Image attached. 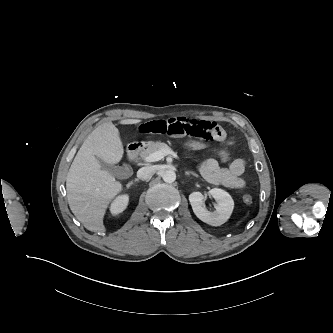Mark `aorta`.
Instances as JSON below:
<instances>
[{
  "mask_svg": "<svg viewBox=\"0 0 333 333\" xmlns=\"http://www.w3.org/2000/svg\"><path fill=\"white\" fill-rule=\"evenodd\" d=\"M162 178L166 183H172L176 180V173L173 170H166Z\"/></svg>",
  "mask_w": 333,
  "mask_h": 333,
  "instance_id": "762f6f07",
  "label": "aorta"
}]
</instances>
